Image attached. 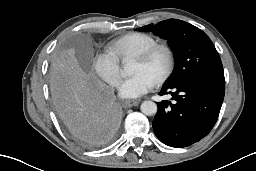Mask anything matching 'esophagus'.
I'll list each match as a JSON object with an SVG mask.
<instances>
[{"label":"esophagus","instance_id":"34e87169","mask_svg":"<svg viewBox=\"0 0 256 171\" xmlns=\"http://www.w3.org/2000/svg\"><path fill=\"white\" fill-rule=\"evenodd\" d=\"M140 103L139 100H126L125 101V106L127 107H134Z\"/></svg>","mask_w":256,"mask_h":171}]
</instances>
